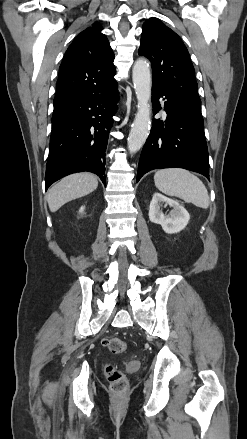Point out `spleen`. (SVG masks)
<instances>
[{
    "instance_id": "spleen-1",
    "label": "spleen",
    "mask_w": 247,
    "mask_h": 439,
    "mask_svg": "<svg viewBox=\"0 0 247 439\" xmlns=\"http://www.w3.org/2000/svg\"><path fill=\"white\" fill-rule=\"evenodd\" d=\"M155 186L164 194L207 209L209 196L203 182L185 169H161L154 175Z\"/></svg>"
}]
</instances>
